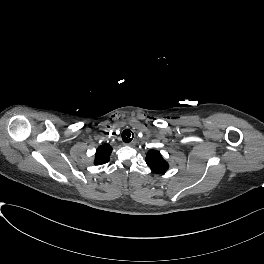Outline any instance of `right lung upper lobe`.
I'll list each match as a JSON object with an SVG mask.
<instances>
[{
    "mask_svg": "<svg viewBox=\"0 0 264 264\" xmlns=\"http://www.w3.org/2000/svg\"><path fill=\"white\" fill-rule=\"evenodd\" d=\"M112 152V148L109 144H104L98 147L95 154V165H100L107 163L110 160V154Z\"/></svg>",
    "mask_w": 264,
    "mask_h": 264,
    "instance_id": "1",
    "label": "right lung upper lobe"
}]
</instances>
